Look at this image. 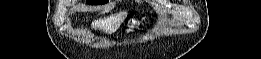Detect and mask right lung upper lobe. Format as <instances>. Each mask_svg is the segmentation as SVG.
Instances as JSON below:
<instances>
[{
  "mask_svg": "<svg viewBox=\"0 0 261 59\" xmlns=\"http://www.w3.org/2000/svg\"><path fill=\"white\" fill-rule=\"evenodd\" d=\"M87 1H107V0H87Z\"/></svg>",
  "mask_w": 261,
  "mask_h": 59,
  "instance_id": "cb5924a9",
  "label": "right lung upper lobe"
}]
</instances>
